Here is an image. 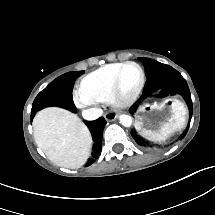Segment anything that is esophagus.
<instances>
[{
	"instance_id": "1",
	"label": "esophagus",
	"mask_w": 215,
	"mask_h": 215,
	"mask_svg": "<svg viewBox=\"0 0 215 215\" xmlns=\"http://www.w3.org/2000/svg\"><path fill=\"white\" fill-rule=\"evenodd\" d=\"M104 117H105L106 121L112 122L117 118V114L115 112L108 111V112H106Z\"/></svg>"
}]
</instances>
